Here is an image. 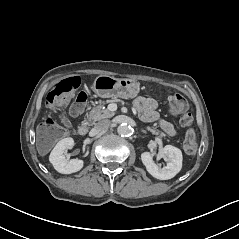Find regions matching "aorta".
I'll list each match as a JSON object with an SVG mask.
<instances>
[{
  "label": "aorta",
  "instance_id": "762f6f07",
  "mask_svg": "<svg viewBox=\"0 0 239 239\" xmlns=\"http://www.w3.org/2000/svg\"><path fill=\"white\" fill-rule=\"evenodd\" d=\"M117 132L120 136H128L131 132V128L127 124H121L117 128Z\"/></svg>",
  "mask_w": 239,
  "mask_h": 239
}]
</instances>
